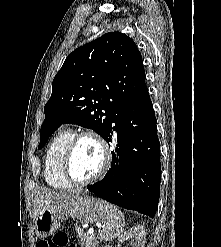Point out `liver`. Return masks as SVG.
<instances>
[{
    "instance_id": "1",
    "label": "liver",
    "mask_w": 221,
    "mask_h": 247,
    "mask_svg": "<svg viewBox=\"0 0 221 247\" xmlns=\"http://www.w3.org/2000/svg\"><path fill=\"white\" fill-rule=\"evenodd\" d=\"M81 190H71V191H50L43 190L38 193L35 198V217L38 215V212L43 207L52 208L57 205L64 204L65 202L72 200L73 198L80 195Z\"/></svg>"
}]
</instances>
